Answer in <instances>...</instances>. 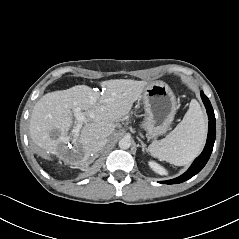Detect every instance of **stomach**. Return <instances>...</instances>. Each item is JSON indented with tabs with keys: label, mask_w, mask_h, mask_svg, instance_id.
Instances as JSON below:
<instances>
[{
	"label": "stomach",
	"mask_w": 239,
	"mask_h": 239,
	"mask_svg": "<svg viewBox=\"0 0 239 239\" xmlns=\"http://www.w3.org/2000/svg\"><path fill=\"white\" fill-rule=\"evenodd\" d=\"M145 118L141 127L149 139L163 135L169 129L177 111L171 88L164 82H153L143 90Z\"/></svg>",
	"instance_id": "obj_1"
}]
</instances>
